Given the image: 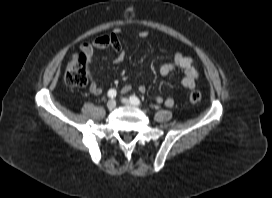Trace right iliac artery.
I'll return each mask as SVG.
<instances>
[{"label": "right iliac artery", "mask_w": 272, "mask_h": 198, "mask_svg": "<svg viewBox=\"0 0 272 198\" xmlns=\"http://www.w3.org/2000/svg\"><path fill=\"white\" fill-rule=\"evenodd\" d=\"M116 94H117V92H116V90H114V89H110V90L108 91V96H109L110 98L116 97Z\"/></svg>", "instance_id": "1"}]
</instances>
